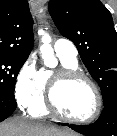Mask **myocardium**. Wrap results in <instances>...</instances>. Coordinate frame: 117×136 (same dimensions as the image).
Listing matches in <instances>:
<instances>
[{"label": "myocardium", "mask_w": 117, "mask_h": 136, "mask_svg": "<svg viewBox=\"0 0 117 136\" xmlns=\"http://www.w3.org/2000/svg\"><path fill=\"white\" fill-rule=\"evenodd\" d=\"M77 80H83L87 82L93 89L95 93V97H96V107H95L94 113L90 117L83 118V119L74 118L67 115L60 107L58 103V99H57L58 92L64 86ZM46 104H47L48 110L52 114H54L55 116L67 122L76 123V124H87V123H91L95 121L100 116L102 112V107H103V98H102V94L98 85L87 74H85L84 72L78 69L61 68L57 73H55L51 77V80L47 89Z\"/></svg>", "instance_id": "obj_1"}]
</instances>
